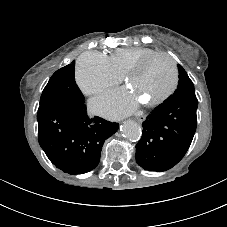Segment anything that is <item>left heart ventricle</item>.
I'll return each instance as SVG.
<instances>
[{"instance_id": "left-heart-ventricle-1", "label": "left heart ventricle", "mask_w": 227, "mask_h": 227, "mask_svg": "<svg viewBox=\"0 0 227 227\" xmlns=\"http://www.w3.org/2000/svg\"><path fill=\"white\" fill-rule=\"evenodd\" d=\"M173 81L171 62L165 57L152 59L141 71L129 81L133 94L142 102L162 95Z\"/></svg>"}]
</instances>
